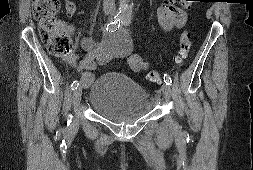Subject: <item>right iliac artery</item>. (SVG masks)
<instances>
[{"label":"right iliac artery","mask_w":253,"mask_h":170,"mask_svg":"<svg viewBox=\"0 0 253 170\" xmlns=\"http://www.w3.org/2000/svg\"><path fill=\"white\" fill-rule=\"evenodd\" d=\"M122 18L118 15H116L112 20L109 21V23L105 26L104 32H114L117 30V28L121 25ZM79 86V82L77 80H74L71 84V89L75 90Z\"/></svg>","instance_id":"82829eb1"}]
</instances>
